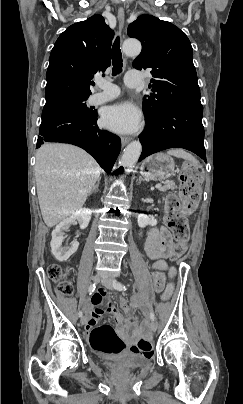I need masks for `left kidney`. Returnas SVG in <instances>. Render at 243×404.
<instances>
[{
    "label": "left kidney",
    "mask_w": 243,
    "mask_h": 404,
    "mask_svg": "<svg viewBox=\"0 0 243 404\" xmlns=\"http://www.w3.org/2000/svg\"><path fill=\"white\" fill-rule=\"evenodd\" d=\"M139 228H146V226H156L157 222L154 218H149L146 214H139L137 218Z\"/></svg>",
    "instance_id": "left-kidney-1"
}]
</instances>
